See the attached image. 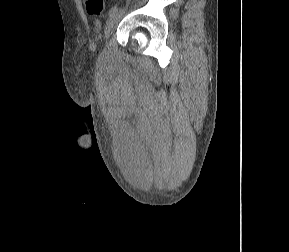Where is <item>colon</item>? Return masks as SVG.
Returning a JSON list of instances; mask_svg holds the SVG:
<instances>
[{"mask_svg": "<svg viewBox=\"0 0 289 252\" xmlns=\"http://www.w3.org/2000/svg\"><path fill=\"white\" fill-rule=\"evenodd\" d=\"M87 12L93 16H99L104 11V0H84Z\"/></svg>", "mask_w": 289, "mask_h": 252, "instance_id": "colon-1", "label": "colon"}]
</instances>
